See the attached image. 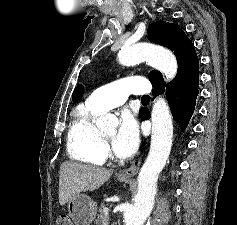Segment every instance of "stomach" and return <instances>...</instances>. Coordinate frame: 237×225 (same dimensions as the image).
<instances>
[{
	"instance_id": "1",
	"label": "stomach",
	"mask_w": 237,
	"mask_h": 225,
	"mask_svg": "<svg viewBox=\"0 0 237 225\" xmlns=\"http://www.w3.org/2000/svg\"><path fill=\"white\" fill-rule=\"evenodd\" d=\"M121 182L126 179H119ZM68 214L75 225H91L97 213L96 203L86 194H77L67 202Z\"/></svg>"
}]
</instances>
